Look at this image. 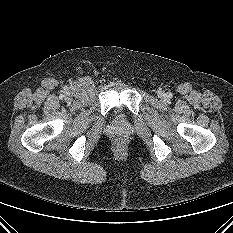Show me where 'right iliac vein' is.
<instances>
[{
  "label": "right iliac vein",
  "mask_w": 233,
  "mask_h": 233,
  "mask_svg": "<svg viewBox=\"0 0 233 233\" xmlns=\"http://www.w3.org/2000/svg\"><path fill=\"white\" fill-rule=\"evenodd\" d=\"M64 97H65V100L69 101L72 99V94L70 92H67Z\"/></svg>",
  "instance_id": "right-iliac-vein-1"
}]
</instances>
